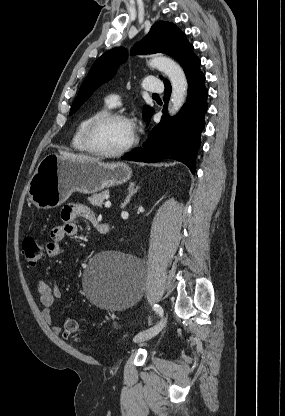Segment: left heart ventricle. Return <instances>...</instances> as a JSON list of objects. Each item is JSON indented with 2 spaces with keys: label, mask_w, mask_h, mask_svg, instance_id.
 <instances>
[{
  "label": "left heart ventricle",
  "mask_w": 285,
  "mask_h": 416,
  "mask_svg": "<svg viewBox=\"0 0 285 416\" xmlns=\"http://www.w3.org/2000/svg\"><path fill=\"white\" fill-rule=\"evenodd\" d=\"M131 136L130 126L119 120H111L99 125L93 134L95 143L106 150L124 147Z\"/></svg>",
  "instance_id": "obj_1"
}]
</instances>
